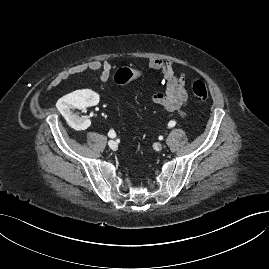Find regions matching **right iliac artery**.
Masks as SVG:
<instances>
[{"label": "right iliac artery", "mask_w": 269, "mask_h": 269, "mask_svg": "<svg viewBox=\"0 0 269 269\" xmlns=\"http://www.w3.org/2000/svg\"><path fill=\"white\" fill-rule=\"evenodd\" d=\"M108 136L110 138H115L116 137V133L114 132V130H110L109 133H108Z\"/></svg>", "instance_id": "right-iliac-artery-1"}]
</instances>
